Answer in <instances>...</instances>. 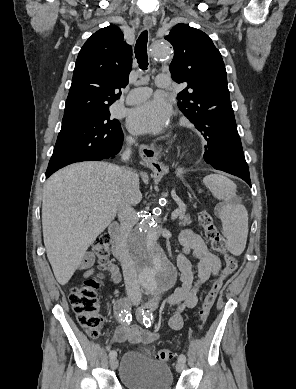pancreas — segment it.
<instances>
[{"label":"pancreas","mask_w":296,"mask_h":389,"mask_svg":"<svg viewBox=\"0 0 296 389\" xmlns=\"http://www.w3.org/2000/svg\"><path fill=\"white\" fill-rule=\"evenodd\" d=\"M191 223V217L189 214H185V209L179 214V225L186 226Z\"/></svg>","instance_id":"1"}]
</instances>
